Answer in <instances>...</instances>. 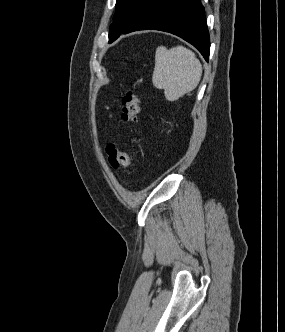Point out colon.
<instances>
[{
    "label": "colon",
    "mask_w": 285,
    "mask_h": 332,
    "mask_svg": "<svg viewBox=\"0 0 285 332\" xmlns=\"http://www.w3.org/2000/svg\"><path fill=\"white\" fill-rule=\"evenodd\" d=\"M141 101L133 89L127 90L121 99V118L125 123L133 124L138 121ZM108 160L112 168L125 169L135 161V154L118 148L113 144L106 147Z\"/></svg>",
    "instance_id": "1"
}]
</instances>
